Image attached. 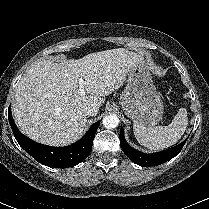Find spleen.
Instances as JSON below:
<instances>
[{
	"label": "spleen",
	"instance_id": "obj_1",
	"mask_svg": "<svg viewBox=\"0 0 209 209\" xmlns=\"http://www.w3.org/2000/svg\"><path fill=\"white\" fill-rule=\"evenodd\" d=\"M188 125L187 110L180 108L168 126L146 128L138 122L133 123L137 141L151 150H160L174 145L183 136Z\"/></svg>",
	"mask_w": 209,
	"mask_h": 209
}]
</instances>
